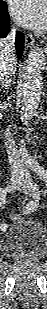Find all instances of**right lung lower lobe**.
<instances>
[{
  "label": "right lung lower lobe",
  "instance_id": "right-lung-lower-lobe-1",
  "mask_svg": "<svg viewBox=\"0 0 47 309\" xmlns=\"http://www.w3.org/2000/svg\"><path fill=\"white\" fill-rule=\"evenodd\" d=\"M10 18L7 11V4L5 2L0 3V37L5 38L10 31ZM16 54L17 57L20 59L23 50H24V36L22 33H16Z\"/></svg>",
  "mask_w": 47,
  "mask_h": 309
}]
</instances>
